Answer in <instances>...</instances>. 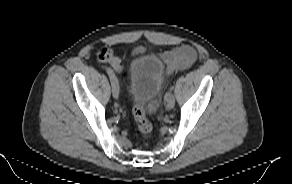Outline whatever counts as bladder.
<instances>
[{
    "label": "bladder",
    "mask_w": 292,
    "mask_h": 184,
    "mask_svg": "<svg viewBox=\"0 0 292 184\" xmlns=\"http://www.w3.org/2000/svg\"><path fill=\"white\" fill-rule=\"evenodd\" d=\"M129 97L142 104L154 107L163 84V65L153 55L134 60L126 71Z\"/></svg>",
    "instance_id": "1"
}]
</instances>
